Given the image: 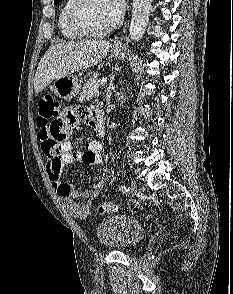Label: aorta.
Returning a JSON list of instances; mask_svg holds the SVG:
<instances>
[{"instance_id": "aorta-1", "label": "aorta", "mask_w": 233, "mask_h": 294, "mask_svg": "<svg viewBox=\"0 0 233 294\" xmlns=\"http://www.w3.org/2000/svg\"><path fill=\"white\" fill-rule=\"evenodd\" d=\"M152 0H133L132 18L129 28L130 41L142 39L149 21Z\"/></svg>"}]
</instances>
